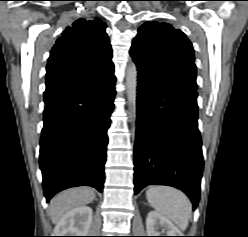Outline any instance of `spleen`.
<instances>
[{
    "mask_svg": "<svg viewBox=\"0 0 248 237\" xmlns=\"http://www.w3.org/2000/svg\"><path fill=\"white\" fill-rule=\"evenodd\" d=\"M146 198L157 212L186 230L192 205L184 193L168 186H152L146 191Z\"/></svg>",
    "mask_w": 248,
    "mask_h": 237,
    "instance_id": "3e777b00",
    "label": "spleen"
}]
</instances>
